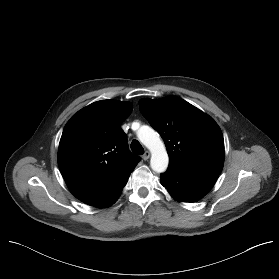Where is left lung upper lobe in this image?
Segmentation results:
<instances>
[{"label":"left lung upper lobe","mask_w":279,"mask_h":279,"mask_svg":"<svg viewBox=\"0 0 279 279\" xmlns=\"http://www.w3.org/2000/svg\"><path fill=\"white\" fill-rule=\"evenodd\" d=\"M139 107L163 138L169 167L197 175H220L224 139L220 127L209 115L175 96L142 99Z\"/></svg>","instance_id":"1"}]
</instances>
